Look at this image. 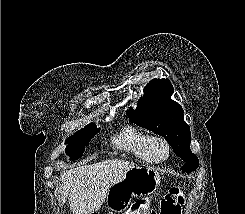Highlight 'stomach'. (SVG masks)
<instances>
[{
    "instance_id": "obj_1",
    "label": "stomach",
    "mask_w": 245,
    "mask_h": 214,
    "mask_svg": "<svg viewBox=\"0 0 245 214\" xmlns=\"http://www.w3.org/2000/svg\"><path fill=\"white\" fill-rule=\"evenodd\" d=\"M159 185L158 171L151 167L135 166L109 188L107 206L113 212H123L129 207L133 196L150 195L156 192Z\"/></svg>"
}]
</instances>
